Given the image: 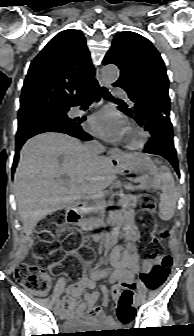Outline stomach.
I'll list each match as a JSON object with an SVG mask.
<instances>
[{"label":"stomach","instance_id":"obj_1","mask_svg":"<svg viewBox=\"0 0 194 336\" xmlns=\"http://www.w3.org/2000/svg\"><path fill=\"white\" fill-rule=\"evenodd\" d=\"M122 174H136L139 189L157 190L161 186V177L150 158L143 154H124L115 159Z\"/></svg>","mask_w":194,"mask_h":336}]
</instances>
